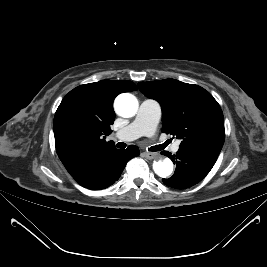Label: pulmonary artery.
Instances as JSON below:
<instances>
[{"mask_svg":"<svg viewBox=\"0 0 267 267\" xmlns=\"http://www.w3.org/2000/svg\"><path fill=\"white\" fill-rule=\"evenodd\" d=\"M161 107L158 102L146 99L138 109L134 120L123 129L115 133V138L121 141L135 140L141 136H152L161 118ZM172 152L179 150V142L171 147Z\"/></svg>","mask_w":267,"mask_h":267,"instance_id":"obj_1","label":"pulmonary artery"}]
</instances>
